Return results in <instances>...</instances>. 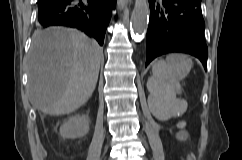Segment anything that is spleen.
I'll use <instances>...</instances> for the list:
<instances>
[{
    "mask_svg": "<svg viewBox=\"0 0 242 160\" xmlns=\"http://www.w3.org/2000/svg\"><path fill=\"white\" fill-rule=\"evenodd\" d=\"M184 55L172 54L166 60L154 63L153 76L148 80L149 91L157 96V102L171 113L176 111V91L180 90V64ZM192 63V61H191Z\"/></svg>",
    "mask_w": 242,
    "mask_h": 160,
    "instance_id": "spleen-1",
    "label": "spleen"
}]
</instances>
